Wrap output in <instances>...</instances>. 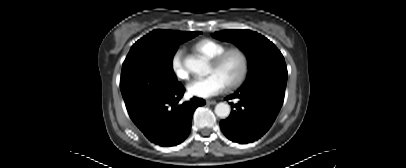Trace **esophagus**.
I'll use <instances>...</instances> for the list:
<instances>
[{"instance_id": "obj_1", "label": "esophagus", "mask_w": 406, "mask_h": 168, "mask_svg": "<svg viewBox=\"0 0 406 168\" xmlns=\"http://www.w3.org/2000/svg\"><path fill=\"white\" fill-rule=\"evenodd\" d=\"M207 105H215L216 101L215 100H206Z\"/></svg>"}]
</instances>
